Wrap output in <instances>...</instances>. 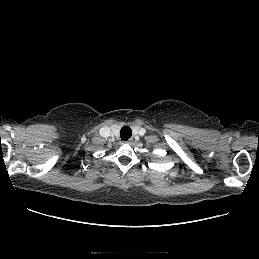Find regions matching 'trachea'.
<instances>
[{
	"mask_svg": "<svg viewBox=\"0 0 259 259\" xmlns=\"http://www.w3.org/2000/svg\"><path fill=\"white\" fill-rule=\"evenodd\" d=\"M132 135V130L128 126H124L120 130V137L122 140H128Z\"/></svg>",
	"mask_w": 259,
	"mask_h": 259,
	"instance_id": "1",
	"label": "trachea"
}]
</instances>
